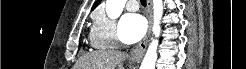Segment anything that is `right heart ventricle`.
<instances>
[{
    "label": "right heart ventricle",
    "instance_id": "e07e8e85",
    "mask_svg": "<svg viewBox=\"0 0 246 69\" xmlns=\"http://www.w3.org/2000/svg\"><path fill=\"white\" fill-rule=\"evenodd\" d=\"M90 40L92 41V36L90 37ZM92 43H93V41H92Z\"/></svg>",
    "mask_w": 246,
    "mask_h": 69
}]
</instances>
